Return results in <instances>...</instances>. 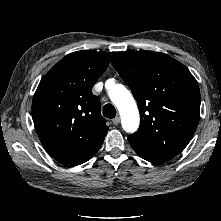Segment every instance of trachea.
I'll list each match as a JSON object with an SVG mask.
<instances>
[{
	"label": "trachea",
	"instance_id": "trachea-1",
	"mask_svg": "<svg viewBox=\"0 0 221 221\" xmlns=\"http://www.w3.org/2000/svg\"><path fill=\"white\" fill-rule=\"evenodd\" d=\"M103 115L107 118H114L116 116V109L112 104H106L103 107Z\"/></svg>",
	"mask_w": 221,
	"mask_h": 221
}]
</instances>
